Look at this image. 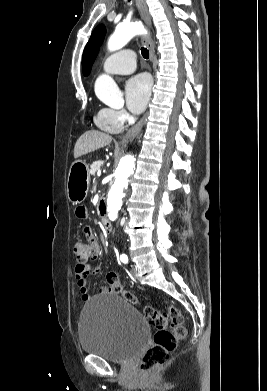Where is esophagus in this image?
I'll use <instances>...</instances> for the list:
<instances>
[{
    "label": "esophagus",
    "instance_id": "esophagus-1",
    "mask_svg": "<svg viewBox=\"0 0 267 391\" xmlns=\"http://www.w3.org/2000/svg\"><path fill=\"white\" fill-rule=\"evenodd\" d=\"M135 1L142 20L144 21L145 25L148 28H151V17L149 15V11L145 1L144 0H135ZM143 43L148 47L150 52V57L153 60L155 51H154V46L151 37L149 35L146 36L143 39ZM145 118L146 115L132 129H130L125 136H123V138L120 140V143L126 144L129 140L133 139L142 129Z\"/></svg>",
    "mask_w": 267,
    "mask_h": 391
}]
</instances>
